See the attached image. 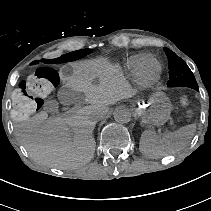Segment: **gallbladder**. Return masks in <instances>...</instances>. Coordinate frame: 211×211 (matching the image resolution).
<instances>
[{
	"label": "gallbladder",
	"mask_w": 211,
	"mask_h": 211,
	"mask_svg": "<svg viewBox=\"0 0 211 211\" xmlns=\"http://www.w3.org/2000/svg\"><path fill=\"white\" fill-rule=\"evenodd\" d=\"M57 98L62 105L73 104L75 106H80L84 102V95L82 92L75 91L66 85L58 90Z\"/></svg>",
	"instance_id": "bac80fb5"
}]
</instances>
